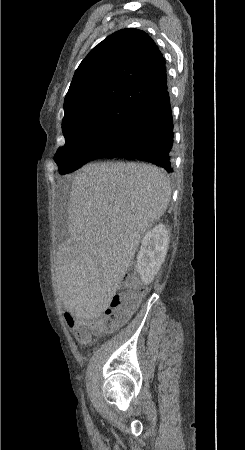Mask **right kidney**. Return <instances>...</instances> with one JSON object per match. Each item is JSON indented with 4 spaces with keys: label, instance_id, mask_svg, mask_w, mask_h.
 Wrapping results in <instances>:
<instances>
[{
    "label": "right kidney",
    "instance_id": "1",
    "mask_svg": "<svg viewBox=\"0 0 245 450\" xmlns=\"http://www.w3.org/2000/svg\"><path fill=\"white\" fill-rule=\"evenodd\" d=\"M169 243L168 231L165 225H156L142 239L137 255V269L145 284L153 281L164 262Z\"/></svg>",
    "mask_w": 245,
    "mask_h": 450
}]
</instances>
